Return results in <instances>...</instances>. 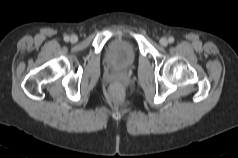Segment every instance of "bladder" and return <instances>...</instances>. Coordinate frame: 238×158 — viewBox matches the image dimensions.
I'll return each instance as SVG.
<instances>
[{"label":"bladder","mask_w":238,"mask_h":158,"mask_svg":"<svg viewBox=\"0 0 238 158\" xmlns=\"http://www.w3.org/2000/svg\"><path fill=\"white\" fill-rule=\"evenodd\" d=\"M106 58L108 63L115 68H128L136 60V49L130 40L117 38L109 43Z\"/></svg>","instance_id":"1"}]
</instances>
